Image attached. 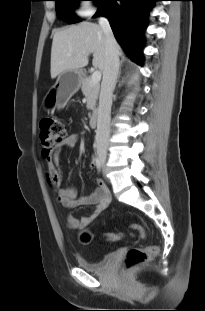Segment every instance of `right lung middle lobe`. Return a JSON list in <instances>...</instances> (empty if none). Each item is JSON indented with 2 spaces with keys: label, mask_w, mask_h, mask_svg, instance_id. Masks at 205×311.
Wrapping results in <instances>:
<instances>
[{
  "label": "right lung middle lobe",
  "mask_w": 205,
  "mask_h": 311,
  "mask_svg": "<svg viewBox=\"0 0 205 311\" xmlns=\"http://www.w3.org/2000/svg\"><path fill=\"white\" fill-rule=\"evenodd\" d=\"M56 2V11L57 16L60 19H63L69 24L77 23L81 21L80 19H77L75 15L73 14V10L75 7L78 6V2L82 0H54ZM99 3H101L102 0H93Z\"/></svg>",
  "instance_id": "dd1d6c3e"
}]
</instances>
